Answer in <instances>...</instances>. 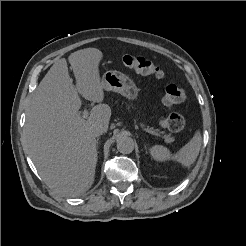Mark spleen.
Listing matches in <instances>:
<instances>
[{
    "label": "spleen",
    "instance_id": "3e777b00",
    "mask_svg": "<svg viewBox=\"0 0 246 246\" xmlns=\"http://www.w3.org/2000/svg\"><path fill=\"white\" fill-rule=\"evenodd\" d=\"M202 144L200 131L197 130L191 140L183 146L178 153L172 155L168 148L162 145H154L149 152L156 161H166L170 159L177 160L184 167H190L196 160Z\"/></svg>",
    "mask_w": 246,
    "mask_h": 246
}]
</instances>
